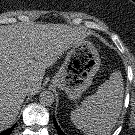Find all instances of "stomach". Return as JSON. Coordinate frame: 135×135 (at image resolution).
I'll list each match as a JSON object with an SVG mask.
<instances>
[{
    "mask_svg": "<svg viewBox=\"0 0 135 135\" xmlns=\"http://www.w3.org/2000/svg\"><path fill=\"white\" fill-rule=\"evenodd\" d=\"M101 64L94 44L83 40L67 52L64 63L53 78V84L62 89L70 100L81 97L92 84Z\"/></svg>",
    "mask_w": 135,
    "mask_h": 135,
    "instance_id": "obj_1",
    "label": "stomach"
}]
</instances>
